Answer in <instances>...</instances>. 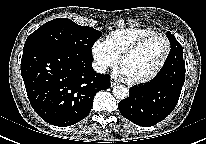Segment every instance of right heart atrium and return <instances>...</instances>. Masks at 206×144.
Instances as JSON below:
<instances>
[{
  "instance_id": "obj_1",
  "label": "right heart atrium",
  "mask_w": 206,
  "mask_h": 144,
  "mask_svg": "<svg viewBox=\"0 0 206 144\" xmlns=\"http://www.w3.org/2000/svg\"><path fill=\"white\" fill-rule=\"evenodd\" d=\"M92 56L99 71L113 69L118 58L112 53L104 40H96L91 48Z\"/></svg>"
}]
</instances>
